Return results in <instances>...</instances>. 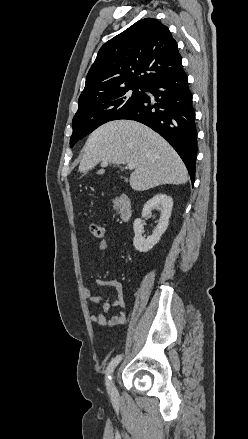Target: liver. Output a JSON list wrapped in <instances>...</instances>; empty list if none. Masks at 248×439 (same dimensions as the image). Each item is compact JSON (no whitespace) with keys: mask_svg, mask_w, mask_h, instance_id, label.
I'll return each mask as SVG.
<instances>
[{"mask_svg":"<svg viewBox=\"0 0 248 439\" xmlns=\"http://www.w3.org/2000/svg\"><path fill=\"white\" fill-rule=\"evenodd\" d=\"M79 171L86 175L100 162L134 163L130 186L145 191L163 184H185L187 169L176 151L149 127L131 120L108 122L91 133ZM105 171L99 170L98 174Z\"/></svg>","mask_w":248,"mask_h":439,"instance_id":"obj_1","label":"liver"}]
</instances>
